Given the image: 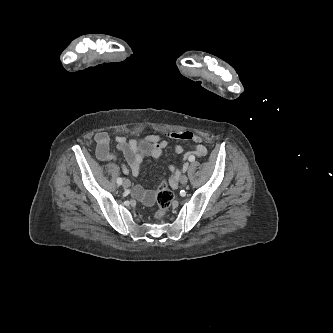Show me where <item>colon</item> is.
Returning <instances> with one entry per match:
<instances>
[{"mask_svg":"<svg viewBox=\"0 0 333 333\" xmlns=\"http://www.w3.org/2000/svg\"><path fill=\"white\" fill-rule=\"evenodd\" d=\"M174 201V194L168 189L165 181H162L157 188L158 209L155 212L157 219H162Z\"/></svg>","mask_w":333,"mask_h":333,"instance_id":"obj_1","label":"colon"}]
</instances>
